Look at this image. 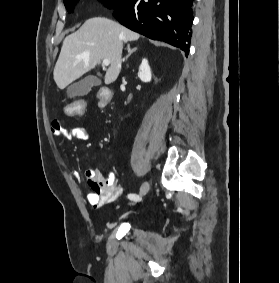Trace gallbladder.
<instances>
[{"label":"gallbladder","mask_w":280,"mask_h":283,"mask_svg":"<svg viewBox=\"0 0 280 283\" xmlns=\"http://www.w3.org/2000/svg\"><path fill=\"white\" fill-rule=\"evenodd\" d=\"M99 85H101V80L96 76L89 75L84 79L70 85L67 88V96L69 98L85 96L91 91L92 87Z\"/></svg>","instance_id":"obj_1"}]
</instances>
